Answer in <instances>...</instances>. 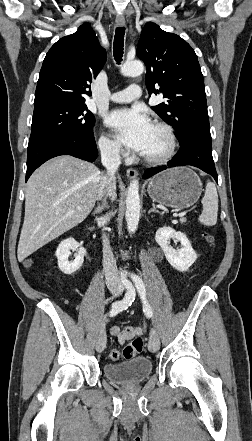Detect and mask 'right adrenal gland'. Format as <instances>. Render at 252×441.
Masks as SVG:
<instances>
[{
	"mask_svg": "<svg viewBox=\"0 0 252 441\" xmlns=\"http://www.w3.org/2000/svg\"><path fill=\"white\" fill-rule=\"evenodd\" d=\"M105 208H107L106 198L103 199V201H102V205H101V206L99 205V206L96 208V210L93 212V214H94V215H95V214H99V213L102 212Z\"/></svg>",
	"mask_w": 252,
	"mask_h": 441,
	"instance_id": "2a0ac1e0",
	"label": "right adrenal gland"
}]
</instances>
